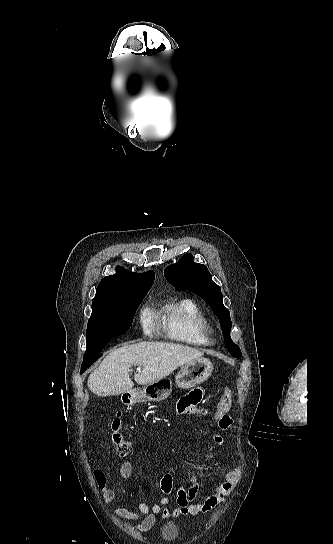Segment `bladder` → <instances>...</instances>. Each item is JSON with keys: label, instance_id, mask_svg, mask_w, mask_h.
<instances>
[{"label": "bladder", "instance_id": "bladder-1", "mask_svg": "<svg viewBox=\"0 0 333 544\" xmlns=\"http://www.w3.org/2000/svg\"><path fill=\"white\" fill-rule=\"evenodd\" d=\"M161 535L166 541H174L179 535L178 527L172 522H167L162 527Z\"/></svg>", "mask_w": 333, "mask_h": 544}]
</instances>
